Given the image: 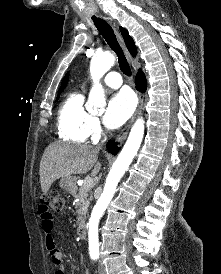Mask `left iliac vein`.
Wrapping results in <instances>:
<instances>
[{
	"label": "left iliac vein",
	"mask_w": 221,
	"mask_h": 274,
	"mask_svg": "<svg viewBox=\"0 0 221 274\" xmlns=\"http://www.w3.org/2000/svg\"><path fill=\"white\" fill-rule=\"evenodd\" d=\"M98 274H105V268L101 263L98 266Z\"/></svg>",
	"instance_id": "obj_1"
}]
</instances>
